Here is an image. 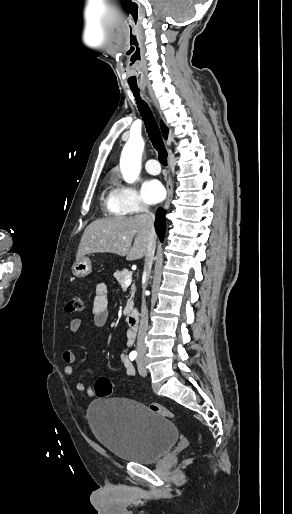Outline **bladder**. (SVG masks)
I'll return each instance as SVG.
<instances>
[{
    "label": "bladder",
    "instance_id": "1",
    "mask_svg": "<svg viewBox=\"0 0 292 514\" xmlns=\"http://www.w3.org/2000/svg\"><path fill=\"white\" fill-rule=\"evenodd\" d=\"M87 421L98 442L115 458L127 462L153 463L179 437L171 420L128 398L93 401L87 409Z\"/></svg>",
    "mask_w": 292,
    "mask_h": 514
}]
</instances>
